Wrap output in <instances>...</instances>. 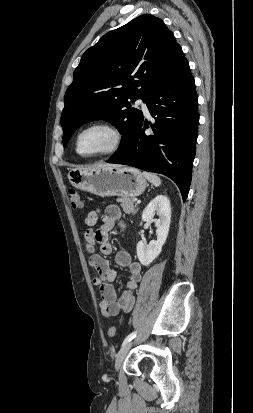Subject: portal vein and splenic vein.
Wrapping results in <instances>:
<instances>
[{
	"instance_id": "obj_1",
	"label": "portal vein and splenic vein",
	"mask_w": 253,
	"mask_h": 413,
	"mask_svg": "<svg viewBox=\"0 0 253 413\" xmlns=\"http://www.w3.org/2000/svg\"><path fill=\"white\" fill-rule=\"evenodd\" d=\"M134 201H135V202H137V203H140V201H139V200H137V199H135Z\"/></svg>"
}]
</instances>
